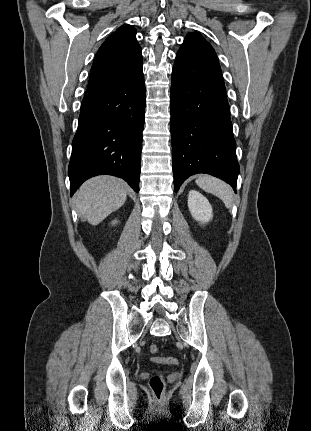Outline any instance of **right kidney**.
<instances>
[{"label":"right kidney","mask_w":311,"mask_h":431,"mask_svg":"<svg viewBox=\"0 0 311 431\" xmlns=\"http://www.w3.org/2000/svg\"><path fill=\"white\" fill-rule=\"evenodd\" d=\"M113 223H116V219H114Z\"/></svg>","instance_id":"right-kidney-1"}]
</instances>
